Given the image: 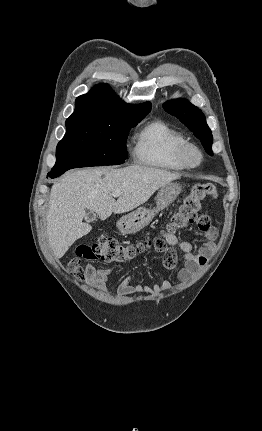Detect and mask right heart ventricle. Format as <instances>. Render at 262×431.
<instances>
[{
  "label": "right heart ventricle",
  "instance_id": "obj_1",
  "mask_svg": "<svg viewBox=\"0 0 262 431\" xmlns=\"http://www.w3.org/2000/svg\"><path fill=\"white\" fill-rule=\"evenodd\" d=\"M187 139L162 120H152L143 125L135 139L134 156L145 166L170 171L185 169L179 161V148Z\"/></svg>",
  "mask_w": 262,
  "mask_h": 431
}]
</instances>
